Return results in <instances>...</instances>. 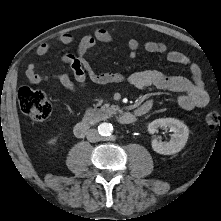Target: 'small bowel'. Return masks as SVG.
<instances>
[{
	"mask_svg": "<svg viewBox=\"0 0 221 221\" xmlns=\"http://www.w3.org/2000/svg\"><path fill=\"white\" fill-rule=\"evenodd\" d=\"M56 41L60 44L69 45L73 43L74 37L70 33H62L57 36ZM112 41L113 35L108 30L100 28L93 34L83 36L77 44L75 53L62 55L61 61L71 68L74 81L66 73L41 74L33 62L26 67V78L31 84H40L51 80L56 81L71 92H74L77 86L85 87L88 81L97 84L128 82L137 89L153 86L161 90L178 93V104L185 110L203 108L209 103V95L204 88L199 66L193 63L185 54L170 50L166 44L161 42L148 41L142 45V48L148 53L165 55L169 62L186 66L191 73V79L166 75L158 70H145L128 76L119 72H97L86 58V55L98 43ZM127 47L128 58L135 59L141 49L139 41L130 39ZM50 49L51 44L43 42L37 47L36 54L44 56ZM143 106H149L151 109L152 101L144 102L136 109V112L140 113Z\"/></svg>",
	"mask_w": 221,
	"mask_h": 221,
	"instance_id": "obj_1",
	"label": "small bowel"
}]
</instances>
